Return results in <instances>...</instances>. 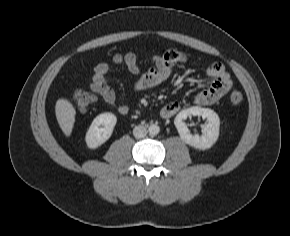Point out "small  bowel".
<instances>
[{"mask_svg":"<svg viewBox=\"0 0 290 236\" xmlns=\"http://www.w3.org/2000/svg\"><path fill=\"white\" fill-rule=\"evenodd\" d=\"M187 55L184 52L169 50L162 55L152 56L153 65L146 71H142L137 56L132 53H116L112 56V63L116 66H125L132 74L137 75L134 88L137 92H143L158 86L167 80L173 73L174 66L179 63H185ZM110 72L108 63H99L95 68L93 75L89 80L91 91L99 95L103 101L110 107L126 115L129 112L127 104L117 102L114 91L107 83V75ZM207 76L211 79L208 86L195 95L194 103L197 106H207L216 103L231 88L232 79L222 63L214 62L207 68ZM181 109L178 102H170L164 105L160 112V118L163 120L173 118Z\"/></svg>","mask_w":290,"mask_h":236,"instance_id":"obj_1","label":"small bowel"}]
</instances>
